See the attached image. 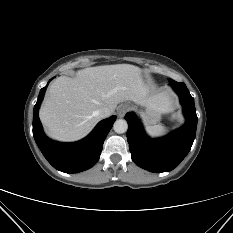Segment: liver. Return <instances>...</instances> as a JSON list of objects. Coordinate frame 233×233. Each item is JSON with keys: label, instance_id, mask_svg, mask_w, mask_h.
Returning <instances> with one entry per match:
<instances>
[{"label": "liver", "instance_id": "1", "mask_svg": "<svg viewBox=\"0 0 233 233\" xmlns=\"http://www.w3.org/2000/svg\"><path fill=\"white\" fill-rule=\"evenodd\" d=\"M133 101L152 104L160 113L168 109L162 94H151L141 78V70L130 64L89 67L75 78L58 77L49 87L39 116L50 137L76 141L85 137L100 121L96 112Z\"/></svg>", "mask_w": 233, "mask_h": 233}]
</instances>
